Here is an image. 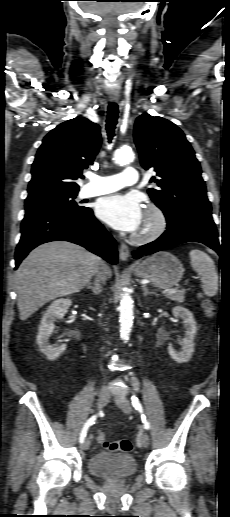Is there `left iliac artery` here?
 <instances>
[{"mask_svg":"<svg viewBox=\"0 0 230 517\" xmlns=\"http://www.w3.org/2000/svg\"><path fill=\"white\" fill-rule=\"evenodd\" d=\"M131 402H132L133 407H134L138 412H140V413H141V417H142V421H143V423H144V427H145V429H147V430H148V429L150 428V423L146 420V416H145V414H144L143 407H142V405H141V403H140L139 399H138L135 395H133V396L131 397Z\"/></svg>","mask_w":230,"mask_h":517,"instance_id":"obj_1","label":"left iliac artery"}]
</instances>
